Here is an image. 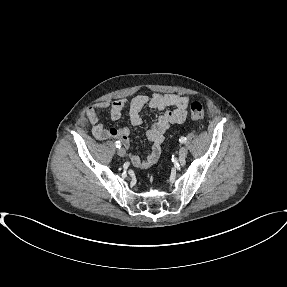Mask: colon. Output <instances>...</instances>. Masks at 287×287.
<instances>
[{
  "label": "colon",
  "instance_id": "5ec220e1",
  "mask_svg": "<svg viewBox=\"0 0 287 287\" xmlns=\"http://www.w3.org/2000/svg\"><path fill=\"white\" fill-rule=\"evenodd\" d=\"M191 118L194 121L202 123L205 119V111L201 103L193 102L191 104Z\"/></svg>",
  "mask_w": 287,
  "mask_h": 287
}]
</instances>
